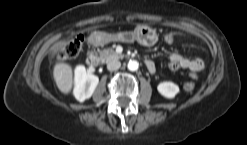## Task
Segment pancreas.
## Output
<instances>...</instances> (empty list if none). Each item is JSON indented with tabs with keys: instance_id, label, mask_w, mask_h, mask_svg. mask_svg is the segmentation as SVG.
<instances>
[{
	"instance_id": "obj_1",
	"label": "pancreas",
	"mask_w": 247,
	"mask_h": 145,
	"mask_svg": "<svg viewBox=\"0 0 247 145\" xmlns=\"http://www.w3.org/2000/svg\"><path fill=\"white\" fill-rule=\"evenodd\" d=\"M121 55L117 54L112 48L104 49L100 52V60L102 62H109L112 59H118Z\"/></svg>"
}]
</instances>
